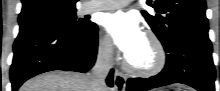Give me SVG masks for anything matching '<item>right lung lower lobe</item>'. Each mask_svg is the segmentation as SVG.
Masks as SVG:
<instances>
[{
  "mask_svg": "<svg viewBox=\"0 0 220 91\" xmlns=\"http://www.w3.org/2000/svg\"><path fill=\"white\" fill-rule=\"evenodd\" d=\"M97 46V26L78 35L43 22L21 24L10 69L12 91H17L27 79L43 72H87L95 63ZM106 82L113 86V70Z\"/></svg>",
  "mask_w": 220,
  "mask_h": 91,
  "instance_id": "right-lung-lower-lobe-1",
  "label": "right lung lower lobe"
}]
</instances>
